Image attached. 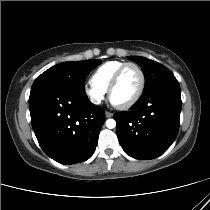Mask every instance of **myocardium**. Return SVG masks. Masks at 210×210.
<instances>
[{"label":"myocardium","instance_id":"myocardium-1","mask_svg":"<svg viewBox=\"0 0 210 210\" xmlns=\"http://www.w3.org/2000/svg\"><path fill=\"white\" fill-rule=\"evenodd\" d=\"M129 66L135 67L140 74L141 81H140L139 89H138L137 93L135 94V96L128 102L123 103V104H116L112 101V93L119 82L122 72ZM145 86H146V75H145V72L143 71L142 67L135 62H125L117 69V71L115 72V74L108 86L107 92H108L109 100L117 109H121V110L129 109L140 100V98L142 97V95L144 93Z\"/></svg>","mask_w":210,"mask_h":210}]
</instances>
